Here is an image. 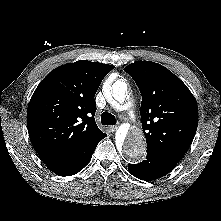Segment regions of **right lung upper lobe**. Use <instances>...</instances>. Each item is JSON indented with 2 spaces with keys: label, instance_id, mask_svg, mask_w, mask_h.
Returning a JSON list of instances; mask_svg holds the SVG:
<instances>
[{
  "label": "right lung upper lobe",
  "instance_id": "right-lung-upper-lobe-1",
  "mask_svg": "<svg viewBox=\"0 0 221 221\" xmlns=\"http://www.w3.org/2000/svg\"><path fill=\"white\" fill-rule=\"evenodd\" d=\"M113 68L80 60L57 67L40 82L28 105L27 126L45 164L106 135L95 122L94 96Z\"/></svg>",
  "mask_w": 221,
  "mask_h": 221
}]
</instances>
